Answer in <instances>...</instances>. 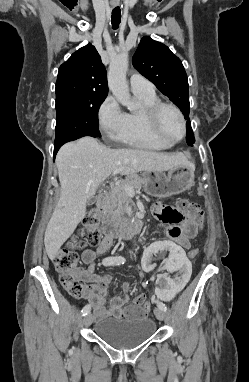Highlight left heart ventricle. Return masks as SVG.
<instances>
[{
  "mask_svg": "<svg viewBox=\"0 0 249 382\" xmlns=\"http://www.w3.org/2000/svg\"><path fill=\"white\" fill-rule=\"evenodd\" d=\"M160 125L164 133L170 138H179L182 135V124L177 114L171 109H164L160 115Z\"/></svg>",
  "mask_w": 249,
  "mask_h": 382,
  "instance_id": "1",
  "label": "left heart ventricle"
}]
</instances>
